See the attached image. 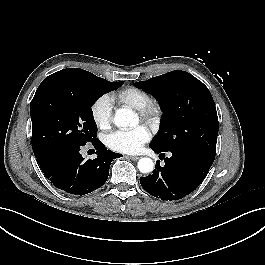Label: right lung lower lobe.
<instances>
[{
    "mask_svg": "<svg viewBox=\"0 0 265 265\" xmlns=\"http://www.w3.org/2000/svg\"><path fill=\"white\" fill-rule=\"evenodd\" d=\"M97 158L85 161L80 147H63L35 153L45 176L53 185L67 193L84 195L101 187L108 178L113 159L121 154L105 149L97 139L93 143Z\"/></svg>",
    "mask_w": 265,
    "mask_h": 265,
    "instance_id": "obj_1",
    "label": "right lung lower lobe"
}]
</instances>
